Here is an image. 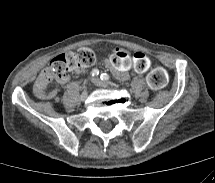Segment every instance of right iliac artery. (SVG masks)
Instances as JSON below:
<instances>
[{"instance_id": "82829eb1", "label": "right iliac artery", "mask_w": 215, "mask_h": 183, "mask_svg": "<svg viewBox=\"0 0 215 183\" xmlns=\"http://www.w3.org/2000/svg\"><path fill=\"white\" fill-rule=\"evenodd\" d=\"M99 74V71L97 69H93L91 71V76H97Z\"/></svg>"}]
</instances>
